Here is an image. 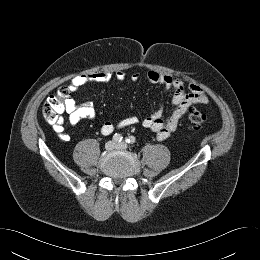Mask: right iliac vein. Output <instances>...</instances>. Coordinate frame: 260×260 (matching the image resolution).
Returning a JSON list of instances; mask_svg holds the SVG:
<instances>
[{
	"instance_id": "obj_1",
	"label": "right iliac vein",
	"mask_w": 260,
	"mask_h": 260,
	"mask_svg": "<svg viewBox=\"0 0 260 260\" xmlns=\"http://www.w3.org/2000/svg\"><path fill=\"white\" fill-rule=\"evenodd\" d=\"M116 147V144L114 141H108L106 144H105V148L106 150H112Z\"/></svg>"
}]
</instances>
